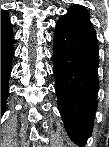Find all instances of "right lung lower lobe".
Masks as SVG:
<instances>
[{"instance_id": "right-lung-lower-lobe-1", "label": "right lung lower lobe", "mask_w": 109, "mask_h": 147, "mask_svg": "<svg viewBox=\"0 0 109 147\" xmlns=\"http://www.w3.org/2000/svg\"><path fill=\"white\" fill-rule=\"evenodd\" d=\"M13 32L10 19L1 20V116L5 110V102L8 94V77L12 69L14 55Z\"/></svg>"}]
</instances>
